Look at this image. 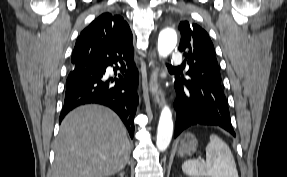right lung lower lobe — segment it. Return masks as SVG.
Listing matches in <instances>:
<instances>
[{
	"label": "right lung lower lobe",
	"mask_w": 287,
	"mask_h": 177,
	"mask_svg": "<svg viewBox=\"0 0 287 177\" xmlns=\"http://www.w3.org/2000/svg\"><path fill=\"white\" fill-rule=\"evenodd\" d=\"M118 78H108L106 68L113 66ZM138 71L133 62V45L124 42L92 46L89 55L71 66L66 80L65 100L59 122L72 109L84 104H102L122 119L131 137L138 105Z\"/></svg>",
	"instance_id": "1"
}]
</instances>
